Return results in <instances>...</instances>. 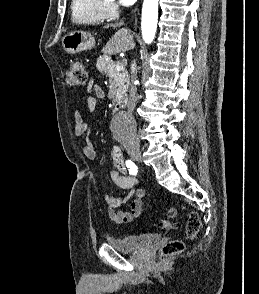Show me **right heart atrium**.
I'll return each mask as SVG.
<instances>
[{"label": "right heart atrium", "mask_w": 259, "mask_h": 294, "mask_svg": "<svg viewBox=\"0 0 259 294\" xmlns=\"http://www.w3.org/2000/svg\"><path fill=\"white\" fill-rule=\"evenodd\" d=\"M104 10L107 18H114L118 13V6L113 0H104Z\"/></svg>", "instance_id": "d8ad5b80"}]
</instances>
